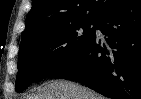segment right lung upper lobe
<instances>
[{"instance_id": "1", "label": "right lung upper lobe", "mask_w": 141, "mask_h": 99, "mask_svg": "<svg viewBox=\"0 0 141 99\" xmlns=\"http://www.w3.org/2000/svg\"><path fill=\"white\" fill-rule=\"evenodd\" d=\"M117 0H32L21 44L80 22L97 21Z\"/></svg>"}]
</instances>
